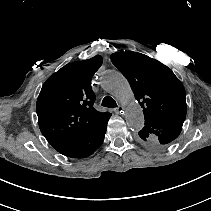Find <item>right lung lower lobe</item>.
<instances>
[{
	"label": "right lung lower lobe",
	"instance_id": "obj_1",
	"mask_svg": "<svg viewBox=\"0 0 211 211\" xmlns=\"http://www.w3.org/2000/svg\"><path fill=\"white\" fill-rule=\"evenodd\" d=\"M110 116L103 119L96 128L56 142L52 144V147L70 158L90 156L101 146Z\"/></svg>",
	"mask_w": 211,
	"mask_h": 211
}]
</instances>
